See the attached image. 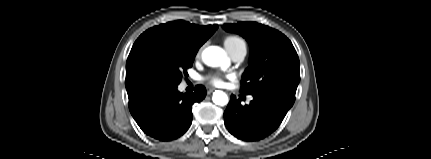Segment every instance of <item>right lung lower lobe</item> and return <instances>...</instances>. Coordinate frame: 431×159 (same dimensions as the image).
<instances>
[{"label":"right lung lower lobe","instance_id":"98d812e1","mask_svg":"<svg viewBox=\"0 0 431 159\" xmlns=\"http://www.w3.org/2000/svg\"><path fill=\"white\" fill-rule=\"evenodd\" d=\"M205 96L202 85L189 95L180 93L177 86L148 87L129 98V110L145 134L159 141H171L188 130L193 119L192 105Z\"/></svg>","mask_w":431,"mask_h":159}]
</instances>
